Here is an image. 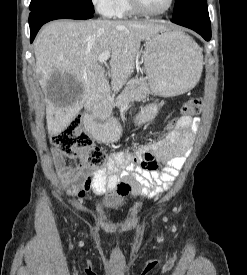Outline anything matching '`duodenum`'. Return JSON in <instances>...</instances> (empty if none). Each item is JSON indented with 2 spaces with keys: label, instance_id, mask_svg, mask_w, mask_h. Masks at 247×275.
<instances>
[{
  "label": "duodenum",
  "instance_id": "410a0bca",
  "mask_svg": "<svg viewBox=\"0 0 247 275\" xmlns=\"http://www.w3.org/2000/svg\"><path fill=\"white\" fill-rule=\"evenodd\" d=\"M111 98L112 94L110 92L105 93L101 101L96 106L95 111L97 113H100L101 111H108L111 108Z\"/></svg>",
  "mask_w": 247,
  "mask_h": 275
}]
</instances>
